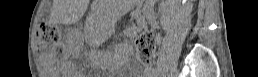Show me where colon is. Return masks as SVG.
Instances as JSON below:
<instances>
[{
  "mask_svg": "<svg viewBox=\"0 0 258 77\" xmlns=\"http://www.w3.org/2000/svg\"><path fill=\"white\" fill-rule=\"evenodd\" d=\"M37 35L42 45H50L60 38V31L53 26L42 23L38 26ZM155 49L156 37L151 31H143L137 36V57L143 65H150L153 62Z\"/></svg>",
  "mask_w": 258,
  "mask_h": 77,
  "instance_id": "5ec220e1",
  "label": "colon"
}]
</instances>
